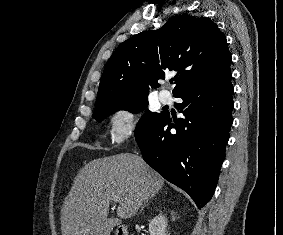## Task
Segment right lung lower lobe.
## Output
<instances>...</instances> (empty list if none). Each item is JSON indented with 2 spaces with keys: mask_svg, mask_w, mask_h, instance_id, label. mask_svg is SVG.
<instances>
[{
  "mask_svg": "<svg viewBox=\"0 0 283 235\" xmlns=\"http://www.w3.org/2000/svg\"><path fill=\"white\" fill-rule=\"evenodd\" d=\"M230 71L188 86L176 94L184 118L172 122L168 113L136 136L146 163L166 180L186 191L198 208L211 199L225 157L233 123ZM176 129L171 133L170 129Z\"/></svg>",
  "mask_w": 283,
  "mask_h": 235,
  "instance_id": "1",
  "label": "right lung lower lobe"
}]
</instances>
